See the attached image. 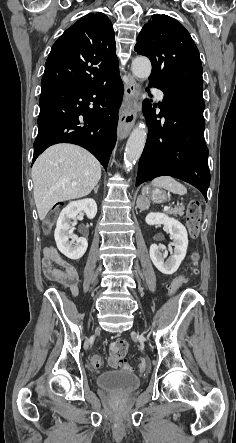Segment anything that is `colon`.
<instances>
[{"label": "colon", "mask_w": 236, "mask_h": 443, "mask_svg": "<svg viewBox=\"0 0 236 443\" xmlns=\"http://www.w3.org/2000/svg\"><path fill=\"white\" fill-rule=\"evenodd\" d=\"M201 203L199 201H191L187 207L186 213V223L188 227L189 234L192 238H197L200 232V221H201ZM50 225L46 226L49 229ZM200 260V255L198 252H193L191 254V262L193 265L192 271L197 272V264ZM183 279H176L170 286L171 292L176 291L180 286ZM129 349V344L124 339H117L110 344L109 347V362L108 365L111 368H123L126 370L131 369L132 363L125 359ZM91 364L95 369H103L105 366L104 360L99 354H93L91 356ZM147 369L145 361L139 363V371L144 372Z\"/></svg>", "instance_id": "5ec220e1"}]
</instances>
